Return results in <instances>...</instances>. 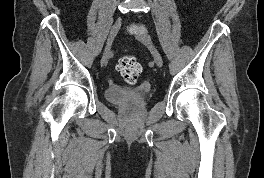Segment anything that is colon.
<instances>
[{
	"mask_svg": "<svg viewBox=\"0 0 264 178\" xmlns=\"http://www.w3.org/2000/svg\"><path fill=\"white\" fill-rule=\"evenodd\" d=\"M117 70L126 82L134 84L141 74L142 67L136 57L128 55L119 59Z\"/></svg>",
	"mask_w": 264,
	"mask_h": 178,
	"instance_id": "obj_1",
	"label": "colon"
}]
</instances>
